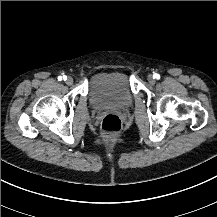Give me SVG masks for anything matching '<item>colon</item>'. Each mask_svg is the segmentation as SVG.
Returning a JSON list of instances; mask_svg holds the SVG:
<instances>
[{"instance_id":"1","label":"colon","mask_w":217,"mask_h":217,"mask_svg":"<svg viewBox=\"0 0 217 217\" xmlns=\"http://www.w3.org/2000/svg\"><path fill=\"white\" fill-rule=\"evenodd\" d=\"M122 128L119 116L115 113L107 114L102 120V131L107 139L114 138Z\"/></svg>"}]
</instances>
